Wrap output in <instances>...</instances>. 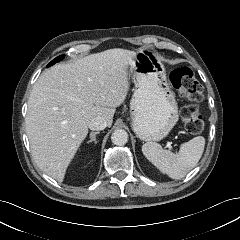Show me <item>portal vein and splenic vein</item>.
I'll use <instances>...</instances> for the list:
<instances>
[{"instance_id":"portal-vein-and-splenic-vein-1","label":"portal vein and splenic vein","mask_w":240,"mask_h":240,"mask_svg":"<svg viewBox=\"0 0 240 240\" xmlns=\"http://www.w3.org/2000/svg\"><path fill=\"white\" fill-rule=\"evenodd\" d=\"M167 147H168L169 149H172V146H171V143H170V142H167Z\"/></svg>"}]
</instances>
